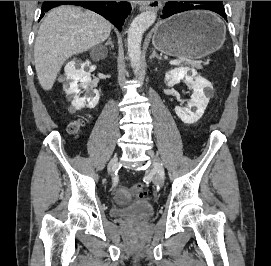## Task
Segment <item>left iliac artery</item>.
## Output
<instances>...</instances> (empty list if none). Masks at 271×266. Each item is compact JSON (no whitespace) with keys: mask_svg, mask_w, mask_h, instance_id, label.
Segmentation results:
<instances>
[{"mask_svg":"<svg viewBox=\"0 0 271 266\" xmlns=\"http://www.w3.org/2000/svg\"><path fill=\"white\" fill-rule=\"evenodd\" d=\"M161 173H162V175H163V177H164V171H162Z\"/></svg>","mask_w":271,"mask_h":266,"instance_id":"1","label":"left iliac artery"}]
</instances>
